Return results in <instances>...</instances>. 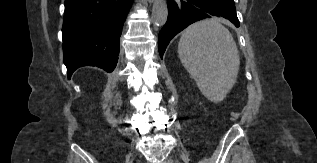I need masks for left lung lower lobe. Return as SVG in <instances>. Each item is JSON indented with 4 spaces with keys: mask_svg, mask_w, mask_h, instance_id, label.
Here are the masks:
<instances>
[{
    "mask_svg": "<svg viewBox=\"0 0 317 163\" xmlns=\"http://www.w3.org/2000/svg\"><path fill=\"white\" fill-rule=\"evenodd\" d=\"M169 16L159 33L161 58L170 40L193 22L223 17L239 27L233 0H168Z\"/></svg>",
    "mask_w": 317,
    "mask_h": 163,
    "instance_id": "left-lung-lower-lobe-1",
    "label": "left lung lower lobe"
}]
</instances>
